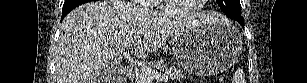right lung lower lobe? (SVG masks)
Segmentation results:
<instances>
[{
  "label": "right lung lower lobe",
  "mask_w": 307,
  "mask_h": 83,
  "mask_svg": "<svg viewBox=\"0 0 307 83\" xmlns=\"http://www.w3.org/2000/svg\"><path fill=\"white\" fill-rule=\"evenodd\" d=\"M86 2H89V0H66L62 9V19L75 7Z\"/></svg>",
  "instance_id": "obj_1"
}]
</instances>
